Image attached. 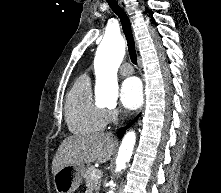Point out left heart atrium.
<instances>
[{
	"mask_svg": "<svg viewBox=\"0 0 221 193\" xmlns=\"http://www.w3.org/2000/svg\"><path fill=\"white\" fill-rule=\"evenodd\" d=\"M120 101L128 110H134L141 106L143 102V89L138 78H128L123 82L120 91Z\"/></svg>",
	"mask_w": 221,
	"mask_h": 193,
	"instance_id": "left-heart-atrium-1",
	"label": "left heart atrium"
}]
</instances>
